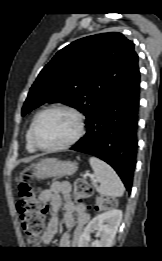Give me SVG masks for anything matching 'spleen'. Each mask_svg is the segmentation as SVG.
<instances>
[{"label": "spleen", "instance_id": "1", "mask_svg": "<svg viewBox=\"0 0 162 261\" xmlns=\"http://www.w3.org/2000/svg\"><path fill=\"white\" fill-rule=\"evenodd\" d=\"M89 163L94 171V178L99 182L96 190L101 195L121 197L124 194V185L111 166L96 157H90Z\"/></svg>", "mask_w": 162, "mask_h": 261}]
</instances>
